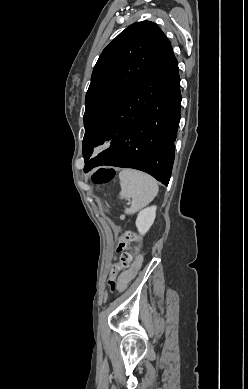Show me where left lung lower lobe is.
<instances>
[{"label":"left lung lower lobe","mask_w":248,"mask_h":389,"mask_svg":"<svg viewBox=\"0 0 248 389\" xmlns=\"http://www.w3.org/2000/svg\"><path fill=\"white\" fill-rule=\"evenodd\" d=\"M180 108L178 62L170 46L104 118L100 134L111 137V146L88 160L85 172L100 165L134 168L168 185Z\"/></svg>","instance_id":"obj_1"}]
</instances>
